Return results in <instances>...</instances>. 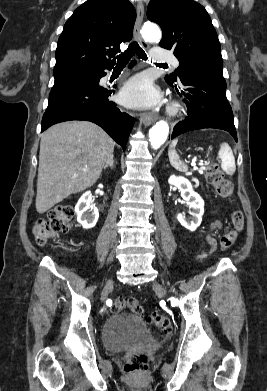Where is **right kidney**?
Listing matches in <instances>:
<instances>
[{
	"label": "right kidney",
	"instance_id": "1",
	"mask_svg": "<svg viewBox=\"0 0 267 391\" xmlns=\"http://www.w3.org/2000/svg\"><path fill=\"white\" fill-rule=\"evenodd\" d=\"M77 221L84 229L93 228L99 218L98 209L92 204V194L85 192L75 206Z\"/></svg>",
	"mask_w": 267,
	"mask_h": 391
}]
</instances>
